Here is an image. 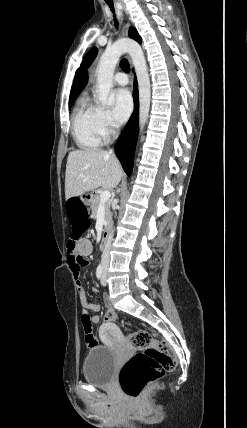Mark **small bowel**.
Returning <instances> with one entry per match:
<instances>
[{
  "mask_svg": "<svg viewBox=\"0 0 247 428\" xmlns=\"http://www.w3.org/2000/svg\"><path fill=\"white\" fill-rule=\"evenodd\" d=\"M93 247L92 243L88 239H82L77 244V250L76 254H70L68 255V262L70 265L71 270L74 272V275L77 279L76 287L78 292V297L80 304L83 308L82 310V317H88L90 321L94 324H97L100 322V316L95 314L90 316L89 311L92 312H98L100 310V305L97 303H91L88 301L86 290L81 283V281L78 279L79 277V271H80V265L78 262V258H85L89 256L92 253ZM105 304L109 307L110 302L107 297H104ZM109 310H112L111 308H108Z\"/></svg>",
  "mask_w": 247,
  "mask_h": 428,
  "instance_id": "c3829d8e",
  "label": "small bowel"
}]
</instances>
